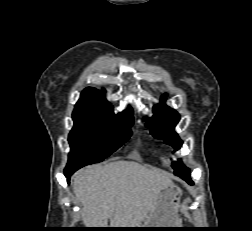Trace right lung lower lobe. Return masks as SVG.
<instances>
[{
    "label": "right lung lower lobe",
    "instance_id": "1",
    "mask_svg": "<svg viewBox=\"0 0 252 231\" xmlns=\"http://www.w3.org/2000/svg\"><path fill=\"white\" fill-rule=\"evenodd\" d=\"M79 168H72V169H65L64 170V173H65V176L67 177V181L69 183V180H70V176L76 171L78 170Z\"/></svg>",
    "mask_w": 252,
    "mask_h": 231
}]
</instances>
